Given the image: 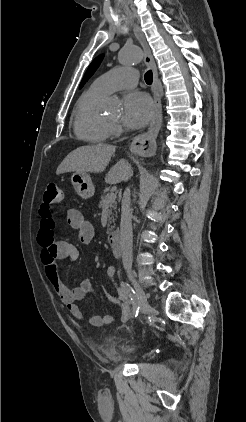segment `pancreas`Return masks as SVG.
<instances>
[{
  "mask_svg": "<svg viewBox=\"0 0 246 422\" xmlns=\"http://www.w3.org/2000/svg\"><path fill=\"white\" fill-rule=\"evenodd\" d=\"M109 194L103 195L101 196V201L99 203V208H104V207H109V215H108V226H107V233H109L110 231H112V229L114 228L111 223L115 221V217H116V208H117V203L114 201L112 203H107V197Z\"/></svg>",
  "mask_w": 246,
  "mask_h": 422,
  "instance_id": "1",
  "label": "pancreas"
}]
</instances>
